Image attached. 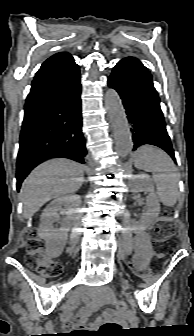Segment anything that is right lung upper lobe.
Here are the masks:
<instances>
[{
  "label": "right lung upper lobe",
  "mask_w": 194,
  "mask_h": 336,
  "mask_svg": "<svg viewBox=\"0 0 194 336\" xmlns=\"http://www.w3.org/2000/svg\"><path fill=\"white\" fill-rule=\"evenodd\" d=\"M74 62L73 57L67 52H60L47 59L38 70L35 78L54 72Z\"/></svg>",
  "instance_id": "1"
}]
</instances>
